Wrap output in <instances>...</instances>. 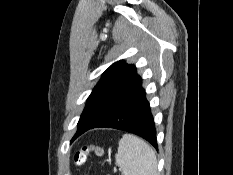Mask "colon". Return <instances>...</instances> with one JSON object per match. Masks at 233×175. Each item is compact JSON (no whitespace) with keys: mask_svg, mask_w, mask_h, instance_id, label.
I'll list each match as a JSON object with an SVG mask.
<instances>
[{"mask_svg":"<svg viewBox=\"0 0 233 175\" xmlns=\"http://www.w3.org/2000/svg\"><path fill=\"white\" fill-rule=\"evenodd\" d=\"M91 152H94L96 154H102L103 150L101 147L95 144L84 145L76 151L74 155L75 163L78 165L83 164Z\"/></svg>","mask_w":233,"mask_h":175,"instance_id":"5ec220e1","label":"colon"}]
</instances>
